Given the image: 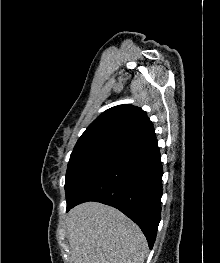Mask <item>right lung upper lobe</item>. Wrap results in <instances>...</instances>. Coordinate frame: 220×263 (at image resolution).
Masks as SVG:
<instances>
[{
  "mask_svg": "<svg viewBox=\"0 0 220 263\" xmlns=\"http://www.w3.org/2000/svg\"><path fill=\"white\" fill-rule=\"evenodd\" d=\"M156 136L146 113L132 105H119L103 112L81 135L74 150L121 151Z\"/></svg>",
  "mask_w": 220,
  "mask_h": 263,
  "instance_id": "cb5924a9",
  "label": "right lung upper lobe"
}]
</instances>
